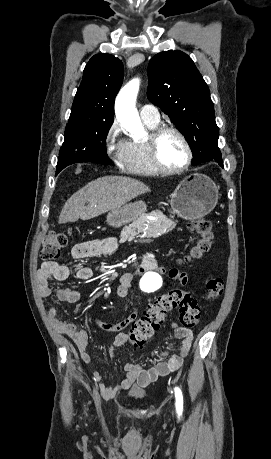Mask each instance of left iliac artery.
<instances>
[{
  "instance_id": "1",
  "label": "left iliac artery",
  "mask_w": 271,
  "mask_h": 459,
  "mask_svg": "<svg viewBox=\"0 0 271 459\" xmlns=\"http://www.w3.org/2000/svg\"><path fill=\"white\" fill-rule=\"evenodd\" d=\"M175 391V397H176V410L178 415H182L183 411V395L181 390L178 387L174 388Z\"/></svg>"
}]
</instances>
